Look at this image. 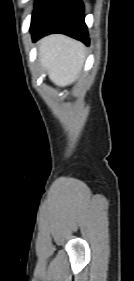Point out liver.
Returning a JSON list of instances; mask_svg holds the SVG:
<instances>
[{
    "label": "liver",
    "instance_id": "1",
    "mask_svg": "<svg viewBox=\"0 0 134 281\" xmlns=\"http://www.w3.org/2000/svg\"><path fill=\"white\" fill-rule=\"evenodd\" d=\"M41 65L57 86L73 84L80 76L85 46L64 35H50L39 42Z\"/></svg>",
    "mask_w": 134,
    "mask_h": 281
}]
</instances>
